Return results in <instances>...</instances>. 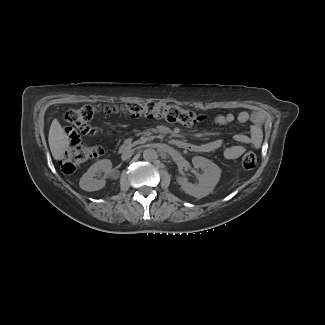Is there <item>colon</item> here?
<instances>
[{"label": "colon", "instance_id": "obj_1", "mask_svg": "<svg viewBox=\"0 0 325 325\" xmlns=\"http://www.w3.org/2000/svg\"><path fill=\"white\" fill-rule=\"evenodd\" d=\"M122 115L130 118L150 117L163 118L170 122H179L186 126H195L204 120V117L190 110L165 102L136 103L130 102L120 106H93L83 105L69 110L65 119L72 129L82 134L99 135L102 130L93 124L96 114ZM103 154V149L96 146L77 144L69 147L60 159V165L65 173L74 172L85 162ZM240 165L246 171L253 170L257 165L256 155L252 152L244 154Z\"/></svg>", "mask_w": 325, "mask_h": 325}]
</instances>
